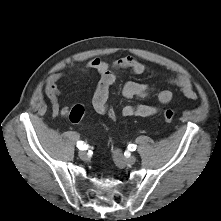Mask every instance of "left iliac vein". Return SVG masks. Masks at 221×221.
Here are the masks:
<instances>
[{"instance_id":"left-iliac-vein-1","label":"left iliac vein","mask_w":221,"mask_h":221,"mask_svg":"<svg viewBox=\"0 0 221 221\" xmlns=\"http://www.w3.org/2000/svg\"><path fill=\"white\" fill-rule=\"evenodd\" d=\"M113 158L115 162L122 167L126 165H133L136 162V157L134 155L123 157L120 150L118 149L114 151Z\"/></svg>"}]
</instances>
